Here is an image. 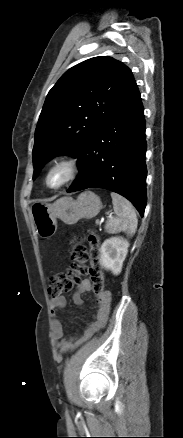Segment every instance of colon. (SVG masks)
Masks as SVG:
<instances>
[{
	"mask_svg": "<svg viewBox=\"0 0 183 438\" xmlns=\"http://www.w3.org/2000/svg\"><path fill=\"white\" fill-rule=\"evenodd\" d=\"M89 249L83 240L75 238L71 247V267L67 273H58L50 278L48 293L51 298L60 297L71 290L74 283L82 276H88L93 292L100 295L104 292V276L100 263V243L95 233L88 234ZM90 265L87 266V262Z\"/></svg>",
	"mask_w": 183,
	"mask_h": 438,
	"instance_id": "1",
	"label": "colon"
}]
</instances>
